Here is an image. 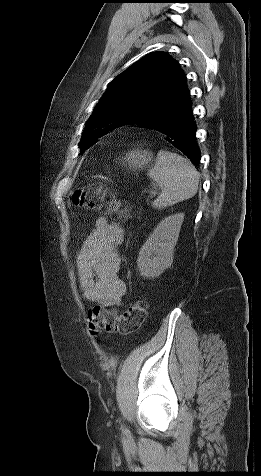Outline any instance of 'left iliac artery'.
<instances>
[{
	"label": "left iliac artery",
	"mask_w": 261,
	"mask_h": 476,
	"mask_svg": "<svg viewBox=\"0 0 261 476\" xmlns=\"http://www.w3.org/2000/svg\"><path fill=\"white\" fill-rule=\"evenodd\" d=\"M125 432H128V430H127V429H125Z\"/></svg>",
	"instance_id": "44dca946"
}]
</instances>
